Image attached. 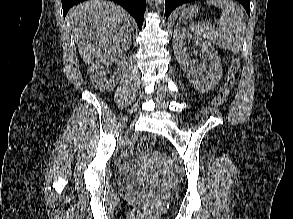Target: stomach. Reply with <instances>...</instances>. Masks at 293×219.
I'll return each mask as SVG.
<instances>
[{
    "mask_svg": "<svg viewBox=\"0 0 293 219\" xmlns=\"http://www.w3.org/2000/svg\"><path fill=\"white\" fill-rule=\"evenodd\" d=\"M198 13V7L196 5H191L190 7H185L181 12L182 18H190Z\"/></svg>",
    "mask_w": 293,
    "mask_h": 219,
    "instance_id": "obj_1",
    "label": "stomach"
}]
</instances>
